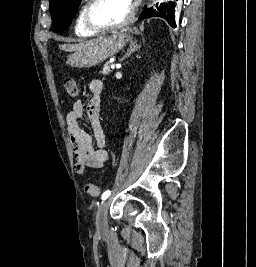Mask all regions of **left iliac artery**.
<instances>
[{
    "mask_svg": "<svg viewBox=\"0 0 256 267\" xmlns=\"http://www.w3.org/2000/svg\"><path fill=\"white\" fill-rule=\"evenodd\" d=\"M111 194V191L110 190H107L105 191L103 194H102V200L105 201Z\"/></svg>",
    "mask_w": 256,
    "mask_h": 267,
    "instance_id": "obj_1",
    "label": "left iliac artery"
}]
</instances>
